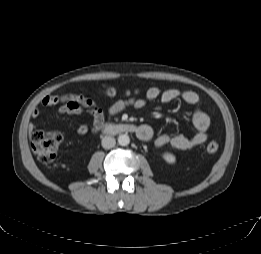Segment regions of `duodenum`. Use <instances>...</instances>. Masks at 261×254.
<instances>
[{"label": "duodenum", "instance_id": "obj_1", "mask_svg": "<svg viewBox=\"0 0 261 254\" xmlns=\"http://www.w3.org/2000/svg\"><path fill=\"white\" fill-rule=\"evenodd\" d=\"M137 130L133 124H106L101 128L105 134L133 133Z\"/></svg>", "mask_w": 261, "mask_h": 254}]
</instances>
